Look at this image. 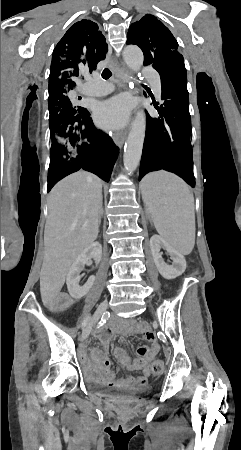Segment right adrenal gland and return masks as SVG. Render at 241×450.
<instances>
[{
    "label": "right adrenal gland",
    "mask_w": 241,
    "mask_h": 450,
    "mask_svg": "<svg viewBox=\"0 0 241 450\" xmlns=\"http://www.w3.org/2000/svg\"><path fill=\"white\" fill-rule=\"evenodd\" d=\"M102 214H103V212H102ZM102 214H100V216H99V224H101V216H102Z\"/></svg>",
    "instance_id": "1"
}]
</instances>
